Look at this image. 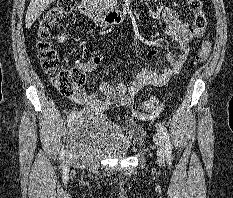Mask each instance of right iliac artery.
Returning a JSON list of instances; mask_svg holds the SVG:
<instances>
[{
  "mask_svg": "<svg viewBox=\"0 0 233 198\" xmlns=\"http://www.w3.org/2000/svg\"><path fill=\"white\" fill-rule=\"evenodd\" d=\"M74 116H75V113L74 112H71L68 116V124H70L72 122V120L74 119ZM64 156H65V150L64 148L61 149L60 151V159H64Z\"/></svg>",
  "mask_w": 233,
  "mask_h": 198,
  "instance_id": "1",
  "label": "right iliac artery"
}]
</instances>
